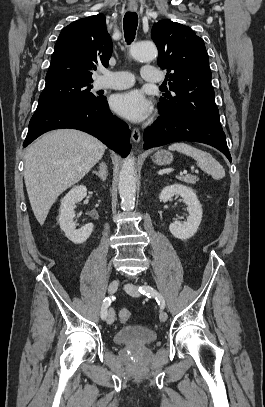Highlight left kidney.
I'll use <instances>...</instances> for the list:
<instances>
[{
  "instance_id": "1",
  "label": "left kidney",
  "mask_w": 265,
  "mask_h": 407,
  "mask_svg": "<svg viewBox=\"0 0 265 407\" xmlns=\"http://www.w3.org/2000/svg\"><path fill=\"white\" fill-rule=\"evenodd\" d=\"M174 195H180L182 197L183 202L187 205L189 216L185 222L175 221L171 223L169 230L174 237L186 240L197 232L202 220V206L194 190L181 184H173L163 188L159 199L163 202H167Z\"/></svg>"
}]
</instances>
